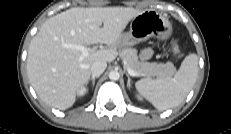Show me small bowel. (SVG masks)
Returning a JSON list of instances; mask_svg holds the SVG:
<instances>
[{
    "label": "small bowel",
    "mask_w": 231,
    "mask_h": 134,
    "mask_svg": "<svg viewBox=\"0 0 231 134\" xmlns=\"http://www.w3.org/2000/svg\"><path fill=\"white\" fill-rule=\"evenodd\" d=\"M152 55H153V51L150 48H145L140 53L141 58L144 60L150 59Z\"/></svg>",
    "instance_id": "c3829d8e"
}]
</instances>
